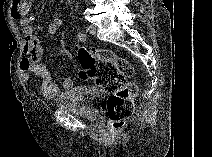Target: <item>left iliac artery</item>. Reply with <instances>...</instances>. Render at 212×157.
<instances>
[{"instance_id":"1","label":"left iliac artery","mask_w":212,"mask_h":157,"mask_svg":"<svg viewBox=\"0 0 212 157\" xmlns=\"http://www.w3.org/2000/svg\"><path fill=\"white\" fill-rule=\"evenodd\" d=\"M77 39H78L79 41H84V40H85V34H84V32L78 33Z\"/></svg>"}]
</instances>
